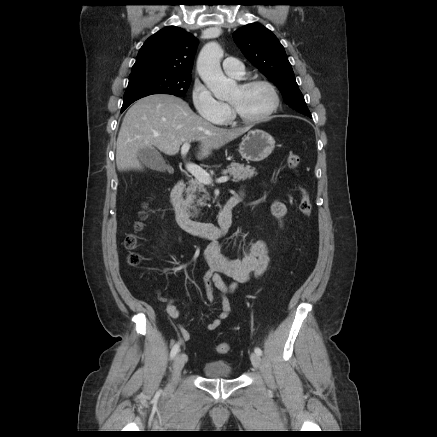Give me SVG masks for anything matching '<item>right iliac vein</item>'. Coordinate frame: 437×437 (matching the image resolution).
I'll list each match as a JSON object with an SVG mask.
<instances>
[{
  "label": "right iliac vein",
  "mask_w": 437,
  "mask_h": 437,
  "mask_svg": "<svg viewBox=\"0 0 437 437\" xmlns=\"http://www.w3.org/2000/svg\"><path fill=\"white\" fill-rule=\"evenodd\" d=\"M186 362V356L182 353H179L173 363V380L172 383L169 385L168 390H172L174 387V383L176 379L179 377L184 365Z\"/></svg>",
  "instance_id": "right-iliac-vein-1"
}]
</instances>
